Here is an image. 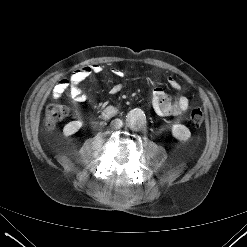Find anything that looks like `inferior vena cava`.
Listing matches in <instances>:
<instances>
[{"label":"inferior vena cava","mask_w":247,"mask_h":247,"mask_svg":"<svg viewBox=\"0 0 247 247\" xmlns=\"http://www.w3.org/2000/svg\"><path fill=\"white\" fill-rule=\"evenodd\" d=\"M110 126L113 128V129H120L122 126H123V122L121 119H114L111 121V124Z\"/></svg>","instance_id":"1"}]
</instances>
